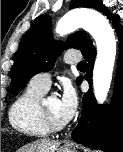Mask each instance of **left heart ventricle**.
<instances>
[{
  "mask_svg": "<svg viewBox=\"0 0 123 152\" xmlns=\"http://www.w3.org/2000/svg\"><path fill=\"white\" fill-rule=\"evenodd\" d=\"M45 107L56 120L64 121L61 117L60 103L58 98L55 97L48 98L45 103Z\"/></svg>",
  "mask_w": 123,
  "mask_h": 152,
  "instance_id": "obj_1",
  "label": "left heart ventricle"
}]
</instances>
